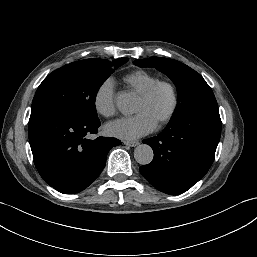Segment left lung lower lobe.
Listing matches in <instances>:
<instances>
[{
	"mask_svg": "<svg viewBox=\"0 0 257 257\" xmlns=\"http://www.w3.org/2000/svg\"><path fill=\"white\" fill-rule=\"evenodd\" d=\"M221 119L217 105H208L169 122L158 136L143 140L154 158L139 168L140 173L158 190L181 194L209 170L220 140Z\"/></svg>",
	"mask_w": 257,
	"mask_h": 257,
	"instance_id": "1",
	"label": "left lung lower lobe"
}]
</instances>
